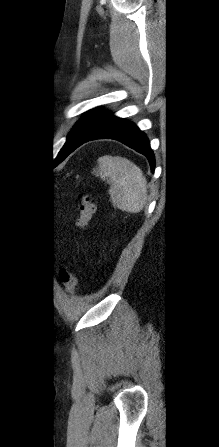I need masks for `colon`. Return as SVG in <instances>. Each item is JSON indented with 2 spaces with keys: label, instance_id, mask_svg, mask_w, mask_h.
I'll list each match as a JSON object with an SVG mask.
<instances>
[{
  "label": "colon",
  "instance_id": "5ec220e1",
  "mask_svg": "<svg viewBox=\"0 0 219 447\" xmlns=\"http://www.w3.org/2000/svg\"><path fill=\"white\" fill-rule=\"evenodd\" d=\"M79 200L80 205L77 227L80 230H85L95 213V205L93 198L89 193H81L79 195ZM60 279L69 293L74 294L77 291V275L73 268H62L60 271Z\"/></svg>",
  "mask_w": 219,
  "mask_h": 447
}]
</instances>
